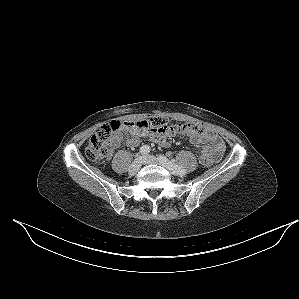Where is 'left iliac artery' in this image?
Returning <instances> with one entry per match:
<instances>
[{"label": "left iliac artery", "mask_w": 299, "mask_h": 299, "mask_svg": "<svg viewBox=\"0 0 299 299\" xmlns=\"http://www.w3.org/2000/svg\"><path fill=\"white\" fill-rule=\"evenodd\" d=\"M158 159L164 162L174 173L178 175H184L186 173V170L182 166L175 164L174 161H169L165 156L160 155Z\"/></svg>", "instance_id": "44dca946"}]
</instances>
